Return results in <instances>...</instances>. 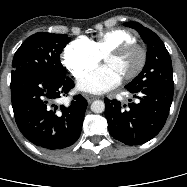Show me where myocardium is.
Returning a JSON list of instances; mask_svg holds the SVG:
<instances>
[{"label":"myocardium","instance_id":"myocardium-1","mask_svg":"<svg viewBox=\"0 0 187 187\" xmlns=\"http://www.w3.org/2000/svg\"><path fill=\"white\" fill-rule=\"evenodd\" d=\"M131 50H137L140 54V58L136 68L123 77V80L125 81L136 78L144 69L147 60V53L145 48L137 42H127L114 47L113 49L106 52L103 56V59L106 57H118Z\"/></svg>","mask_w":187,"mask_h":187}]
</instances>
